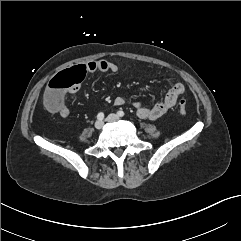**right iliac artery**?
<instances>
[{
	"label": "right iliac artery",
	"mask_w": 241,
	"mask_h": 241,
	"mask_svg": "<svg viewBox=\"0 0 241 241\" xmlns=\"http://www.w3.org/2000/svg\"><path fill=\"white\" fill-rule=\"evenodd\" d=\"M97 119L98 120H103L104 119V113L103 112L98 113Z\"/></svg>",
	"instance_id": "right-iliac-artery-1"
}]
</instances>
